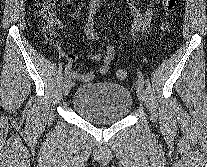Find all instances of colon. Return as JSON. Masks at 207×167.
<instances>
[{
  "label": "colon",
  "mask_w": 207,
  "mask_h": 167,
  "mask_svg": "<svg viewBox=\"0 0 207 167\" xmlns=\"http://www.w3.org/2000/svg\"><path fill=\"white\" fill-rule=\"evenodd\" d=\"M55 0H34V8L37 17L44 23V37L48 41L55 39L54 31V9ZM177 4V0H162L163 8L166 12L165 18L161 24V29L164 31L169 26V17ZM117 78L125 80L128 77V72L124 69H119L116 72Z\"/></svg>",
  "instance_id": "1"
}]
</instances>
